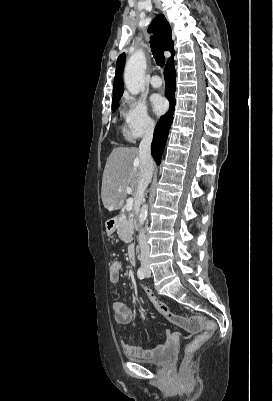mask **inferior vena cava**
<instances>
[{
  "label": "inferior vena cava",
  "instance_id": "1",
  "mask_svg": "<svg viewBox=\"0 0 273 401\" xmlns=\"http://www.w3.org/2000/svg\"><path fill=\"white\" fill-rule=\"evenodd\" d=\"M153 126L152 128H146L145 134L140 142L139 152H140V176L138 182V188L136 192V201H143V196L145 188H147L149 182H151L153 174V158L151 156V142L153 138ZM139 247L141 251V261L144 259H149L150 249L147 245L146 237L144 231H139Z\"/></svg>",
  "mask_w": 273,
  "mask_h": 401
}]
</instances>
